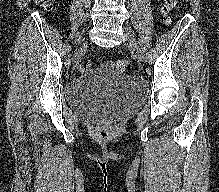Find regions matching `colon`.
<instances>
[{
	"mask_svg": "<svg viewBox=\"0 0 219 192\" xmlns=\"http://www.w3.org/2000/svg\"><path fill=\"white\" fill-rule=\"evenodd\" d=\"M34 2L37 5L43 7L51 6V0H34ZM176 2L177 0H163L160 6V12L165 23H168L170 21V12L174 8ZM129 64L130 61L128 59H121L115 62H109V65L114 67L120 73L124 72L128 68Z\"/></svg>",
	"mask_w": 219,
	"mask_h": 192,
	"instance_id": "obj_1",
	"label": "colon"
}]
</instances>
